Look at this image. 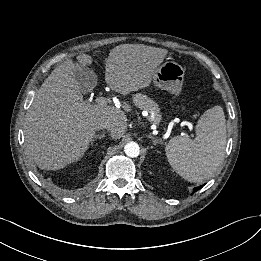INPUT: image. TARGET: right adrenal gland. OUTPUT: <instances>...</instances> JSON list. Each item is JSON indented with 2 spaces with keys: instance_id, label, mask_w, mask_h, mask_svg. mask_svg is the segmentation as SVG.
<instances>
[{
  "instance_id": "right-adrenal-gland-1",
  "label": "right adrenal gland",
  "mask_w": 261,
  "mask_h": 261,
  "mask_svg": "<svg viewBox=\"0 0 261 261\" xmlns=\"http://www.w3.org/2000/svg\"><path fill=\"white\" fill-rule=\"evenodd\" d=\"M105 136L104 133L100 134V135H95L91 141V144H93V142L97 139H103V137Z\"/></svg>"
}]
</instances>
